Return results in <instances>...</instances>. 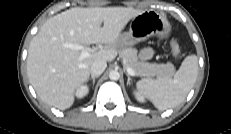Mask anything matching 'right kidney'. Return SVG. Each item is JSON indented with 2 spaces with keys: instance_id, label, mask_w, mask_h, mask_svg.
<instances>
[{
  "instance_id": "ca27d5eb",
  "label": "right kidney",
  "mask_w": 231,
  "mask_h": 134,
  "mask_svg": "<svg viewBox=\"0 0 231 134\" xmlns=\"http://www.w3.org/2000/svg\"><path fill=\"white\" fill-rule=\"evenodd\" d=\"M88 91H89L88 87L85 85H82L76 90V96L78 98H83L84 96L88 94Z\"/></svg>"
}]
</instances>
